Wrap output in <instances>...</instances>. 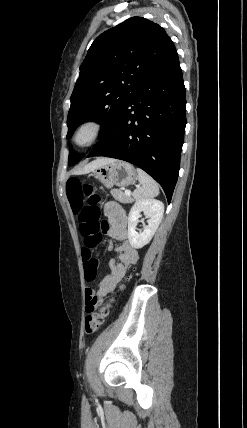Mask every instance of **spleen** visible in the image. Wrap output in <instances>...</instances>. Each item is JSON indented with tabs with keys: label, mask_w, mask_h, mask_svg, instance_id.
I'll return each instance as SVG.
<instances>
[{
	"label": "spleen",
	"mask_w": 247,
	"mask_h": 428,
	"mask_svg": "<svg viewBox=\"0 0 247 428\" xmlns=\"http://www.w3.org/2000/svg\"><path fill=\"white\" fill-rule=\"evenodd\" d=\"M137 173L141 186L133 192V197L136 200L156 197L159 194L156 181L140 168H137Z\"/></svg>",
	"instance_id": "1"
}]
</instances>
